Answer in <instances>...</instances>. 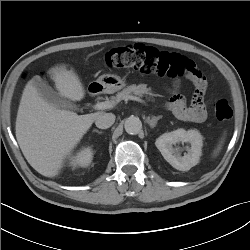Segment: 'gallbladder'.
Masks as SVG:
<instances>
[{"mask_svg":"<svg viewBox=\"0 0 250 250\" xmlns=\"http://www.w3.org/2000/svg\"><path fill=\"white\" fill-rule=\"evenodd\" d=\"M37 87L41 96L50 104L58 109L75 110L77 109L70 100L57 94L44 80L40 77H34L32 80Z\"/></svg>","mask_w":250,"mask_h":250,"instance_id":"gallbladder-1","label":"gallbladder"}]
</instances>
